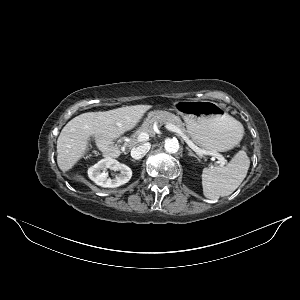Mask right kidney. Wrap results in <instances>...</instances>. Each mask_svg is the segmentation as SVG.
I'll return each mask as SVG.
<instances>
[{"mask_svg": "<svg viewBox=\"0 0 300 300\" xmlns=\"http://www.w3.org/2000/svg\"><path fill=\"white\" fill-rule=\"evenodd\" d=\"M109 168L120 171L115 178H109L105 172ZM89 178L97 185L106 188H116L127 183L132 177V170L125 164L119 163L112 158H104L88 169Z\"/></svg>", "mask_w": 300, "mask_h": 300, "instance_id": "obj_1", "label": "right kidney"}]
</instances>
